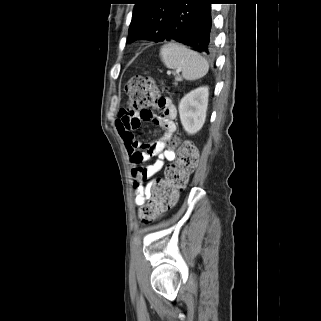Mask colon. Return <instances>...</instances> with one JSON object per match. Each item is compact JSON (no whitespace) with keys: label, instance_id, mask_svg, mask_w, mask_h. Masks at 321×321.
Segmentation results:
<instances>
[{"label":"colon","instance_id":"colon-1","mask_svg":"<svg viewBox=\"0 0 321 321\" xmlns=\"http://www.w3.org/2000/svg\"><path fill=\"white\" fill-rule=\"evenodd\" d=\"M125 92L128 98L127 110L132 112L146 109L160 98L155 81L145 76L131 78L126 84ZM175 146V162L166 169L165 180L155 182L151 199L139 211L143 223L156 220L174 207L180 191L186 187L189 176L197 167L199 154L193 143L177 140Z\"/></svg>","mask_w":321,"mask_h":321}]
</instances>
